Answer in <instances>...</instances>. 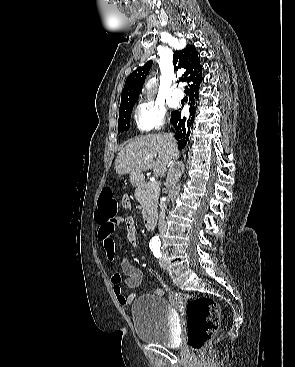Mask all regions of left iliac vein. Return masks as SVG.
Instances as JSON below:
<instances>
[{
  "mask_svg": "<svg viewBox=\"0 0 295 367\" xmlns=\"http://www.w3.org/2000/svg\"><path fill=\"white\" fill-rule=\"evenodd\" d=\"M159 265L161 266V268H166V259L164 256H162L159 260Z\"/></svg>",
  "mask_w": 295,
  "mask_h": 367,
  "instance_id": "left-iliac-vein-1",
  "label": "left iliac vein"
}]
</instances>
